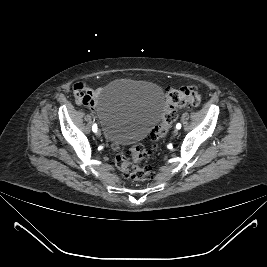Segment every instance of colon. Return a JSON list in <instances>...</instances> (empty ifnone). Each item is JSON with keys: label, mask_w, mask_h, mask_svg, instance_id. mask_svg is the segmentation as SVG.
Wrapping results in <instances>:
<instances>
[{"label": "colon", "mask_w": 267, "mask_h": 267, "mask_svg": "<svg viewBox=\"0 0 267 267\" xmlns=\"http://www.w3.org/2000/svg\"><path fill=\"white\" fill-rule=\"evenodd\" d=\"M166 108L162 122L150 133L152 141H158L165 137L174 121L177 119L178 108H196L201 103V92L197 86L189 85L180 88L169 89L166 93ZM115 164L125 177L134 181H143L152 177L153 172L145 164L149 152L141 144H136L124 152L115 148Z\"/></svg>", "instance_id": "1"}]
</instances>
